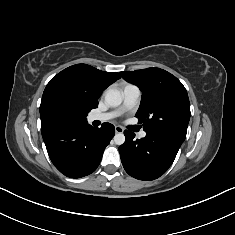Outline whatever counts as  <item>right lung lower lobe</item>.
<instances>
[{"mask_svg":"<svg viewBox=\"0 0 235 235\" xmlns=\"http://www.w3.org/2000/svg\"><path fill=\"white\" fill-rule=\"evenodd\" d=\"M114 134L115 128L110 123H103L101 128H97L87 121L42 129L52 163L70 178L94 172Z\"/></svg>","mask_w":235,"mask_h":235,"instance_id":"obj_1","label":"right lung lower lobe"}]
</instances>
